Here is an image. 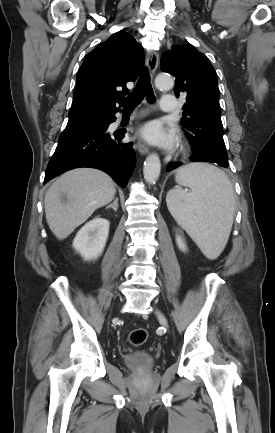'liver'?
Here are the masks:
<instances>
[{"instance_id": "6515ba94", "label": "liver", "mask_w": 275, "mask_h": 433, "mask_svg": "<svg viewBox=\"0 0 275 433\" xmlns=\"http://www.w3.org/2000/svg\"><path fill=\"white\" fill-rule=\"evenodd\" d=\"M115 193L113 180L100 170L78 168L64 173L50 186L44 199L50 230L59 240L67 238L96 209L109 204Z\"/></svg>"}]
</instances>
